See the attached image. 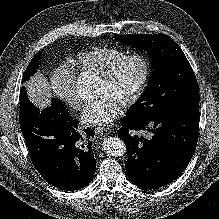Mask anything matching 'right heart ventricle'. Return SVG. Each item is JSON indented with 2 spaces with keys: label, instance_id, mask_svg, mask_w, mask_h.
<instances>
[{
  "label": "right heart ventricle",
  "instance_id": "e07e8e85",
  "mask_svg": "<svg viewBox=\"0 0 219 219\" xmlns=\"http://www.w3.org/2000/svg\"><path fill=\"white\" fill-rule=\"evenodd\" d=\"M126 54L125 50L115 47H97L78 53L71 59V63L81 73L100 76Z\"/></svg>",
  "mask_w": 219,
  "mask_h": 219
}]
</instances>
